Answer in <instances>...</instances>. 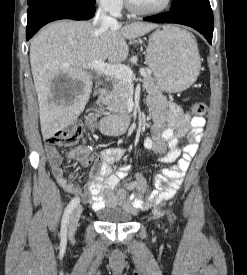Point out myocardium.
Segmentation results:
<instances>
[{
	"label": "myocardium",
	"mask_w": 247,
	"mask_h": 275,
	"mask_svg": "<svg viewBox=\"0 0 247 275\" xmlns=\"http://www.w3.org/2000/svg\"><path fill=\"white\" fill-rule=\"evenodd\" d=\"M128 10L135 15H155L165 11L172 3V0H165L160 7L153 9H142L137 7L132 0H125Z\"/></svg>",
	"instance_id": "f54148a6"
}]
</instances>
